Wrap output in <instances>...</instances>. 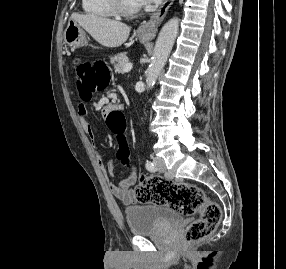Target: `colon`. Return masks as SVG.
<instances>
[{"label": "colon", "mask_w": 286, "mask_h": 269, "mask_svg": "<svg viewBox=\"0 0 286 269\" xmlns=\"http://www.w3.org/2000/svg\"><path fill=\"white\" fill-rule=\"evenodd\" d=\"M77 88L82 97H91L105 87L110 80L109 73L102 61H84L76 64ZM113 116H108V126H112L111 134L119 137L114 154L121 158L124 166L130 165L133 154L131 142H125L126 111L121 108L112 109ZM135 195L140 202H151L168 206L182 215L199 213V218L192 222L184 232V243L191 244L211 235L221 219L219 205L210 200L204 191L190 184L177 183L159 176L143 173L136 175Z\"/></svg>", "instance_id": "5ec220e1"}]
</instances>
